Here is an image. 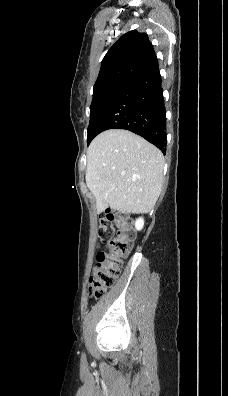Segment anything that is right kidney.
<instances>
[{"instance_id": "right-kidney-1", "label": "right kidney", "mask_w": 228, "mask_h": 396, "mask_svg": "<svg viewBox=\"0 0 228 396\" xmlns=\"http://www.w3.org/2000/svg\"><path fill=\"white\" fill-rule=\"evenodd\" d=\"M144 226V220L143 218H138L135 222V227L137 230H141Z\"/></svg>"}]
</instances>
